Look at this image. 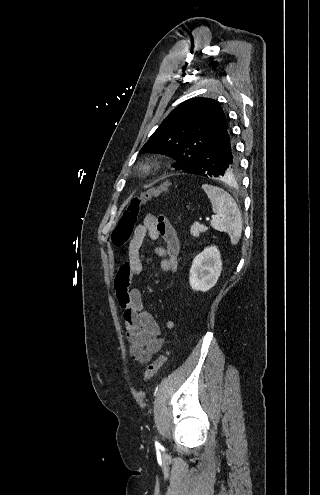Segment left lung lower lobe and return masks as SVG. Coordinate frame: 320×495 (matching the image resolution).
Returning <instances> with one entry per match:
<instances>
[{
    "instance_id": "1",
    "label": "left lung lower lobe",
    "mask_w": 320,
    "mask_h": 495,
    "mask_svg": "<svg viewBox=\"0 0 320 495\" xmlns=\"http://www.w3.org/2000/svg\"><path fill=\"white\" fill-rule=\"evenodd\" d=\"M238 168V157L227 125L218 137L201 152L196 162L183 172L204 177L228 178L236 174Z\"/></svg>"
}]
</instances>
